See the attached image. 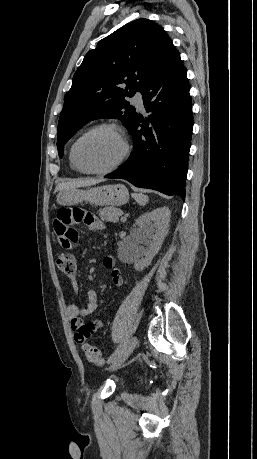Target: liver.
I'll list each match as a JSON object with an SVG mask.
<instances>
[{"label":"liver","instance_id":"1","mask_svg":"<svg viewBox=\"0 0 257 459\" xmlns=\"http://www.w3.org/2000/svg\"><path fill=\"white\" fill-rule=\"evenodd\" d=\"M102 181L103 180L101 179H78V180H71L68 182H62L56 186L55 192L73 189V188H79V187L92 186Z\"/></svg>","mask_w":257,"mask_h":459}]
</instances>
